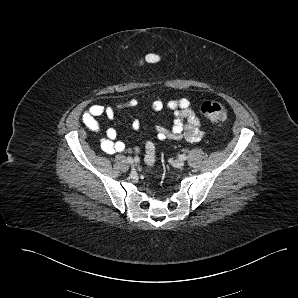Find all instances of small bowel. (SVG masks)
Here are the masks:
<instances>
[{"label": "small bowel", "instance_id": "small-bowel-1", "mask_svg": "<svg viewBox=\"0 0 298 298\" xmlns=\"http://www.w3.org/2000/svg\"><path fill=\"white\" fill-rule=\"evenodd\" d=\"M138 105L139 100L136 98L129 99L115 106L94 104L83 113L82 121L89 130L99 132L101 130L98 121L100 116L104 115L109 119H113L117 111L124 108H135ZM151 106L155 111H161L167 108L174 114V120L170 128L161 125L156 126L155 132L158 140L197 142L202 138L204 132L201 121L192 110L191 102L188 99L170 100L167 103L161 100H155ZM132 128L136 131L140 129V121L138 119L133 120ZM116 138L117 131L114 128H108L105 136L100 141L101 149L110 155L123 152L125 150V144L122 141L116 140Z\"/></svg>", "mask_w": 298, "mask_h": 298}]
</instances>
